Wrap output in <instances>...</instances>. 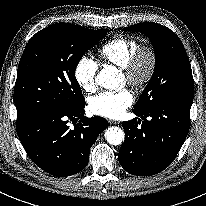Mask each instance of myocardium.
<instances>
[{
	"label": "myocardium",
	"instance_id": "myocardium-1",
	"mask_svg": "<svg viewBox=\"0 0 206 206\" xmlns=\"http://www.w3.org/2000/svg\"><path fill=\"white\" fill-rule=\"evenodd\" d=\"M146 61L145 69L141 68ZM157 66V53L150 44H139L129 57L122 72L127 84L136 89L146 86L154 76Z\"/></svg>",
	"mask_w": 206,
	"mask_h": 206
}]
</instances>
